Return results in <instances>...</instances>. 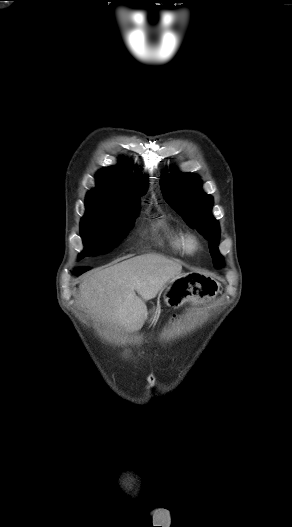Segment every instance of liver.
Instances as JSON below:
<instances>
[{"label":"liver","instance_id":"liver-1","mask_svg":"<svg viewBox=\"0 0 292 527\" xmlns=\"http://www.w3.org/2000/svg\"><path fill=\"white\" fill-rule=\"evenodd\" d=\"M181 271V263L158 254L135 256L86 277L79 286L80 302L102 321L138 331L148 317L145 301Z\"/></svg>","mask_w":292,"mask_h":527}]
</instances>
